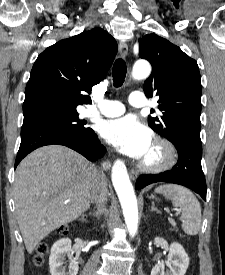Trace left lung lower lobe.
I'll list each match as a JSON object with an SVG mask.
<instances>
[{
	"label": "left lung lower lobe",
	"mask_w": 225,
	"mask_h": 275,
	"mask_svg": "<svg viewBox=\"0 0 225 275\" xmlns=\"http://www.w3.org/2000/svg\"><path fill=\"white\" fill-rule=\"evenodd\" d=\"M174 145L178 151L177 164L164 173L141 175L136 181V189L155 182L175 183L194 190L206 200V182L201 167V142L189 140Z\"/></svg>",
	"instance_id": "obj_1"
}]
</instances>
